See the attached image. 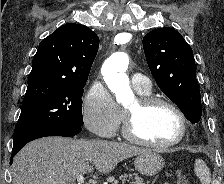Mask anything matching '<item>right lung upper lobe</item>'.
I'll return each instance as SVG.
<instances>
[{
  "instance_id": "1",
  "label": "right lung upper lobe",
  "mask_w": 224,
  "mask_h": 184,
  "mask_svg": "<svg viewBox=\"0 0 224 184\" xmlns=\"http://www.w3.org/2000/svg\"><path fill=\"white\" fill-rule=\"evenodd\" d=\"M99 47L89 27L67 23L43 39L33 58L28 85L86 83Z\"/></svg>"
}]
</instances>
